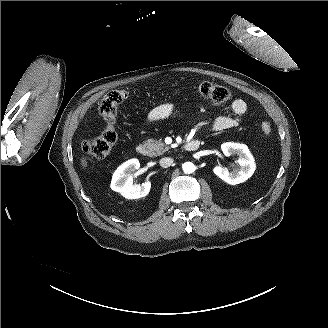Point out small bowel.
<instances>
[{"label":"small bowel","instance_id":"obj_1","mask_svg":"<svg viewBox=\"0 0 328 328\" xmlns=\"http://www.w3.org/2000/svg\"><path fill=\"white\" fill-rule=\"evenodd\" d=\"M234 117L221 116L212 121L211 127L215 131H224L239 126L241 117L247 111V104L243 99H235L231 105ZM175 111V106L170 103L162 104L152 109L146 118L147 123H154L163 120Z\"/></svg>","mask_w":328,"mask_h":328}]
</instances>
